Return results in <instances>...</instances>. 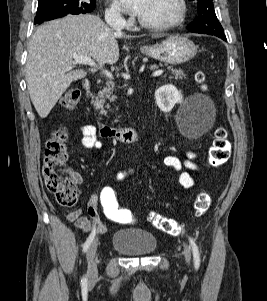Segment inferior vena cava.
Masks as SVG:
<instances>
[{
	"label": "inferior vena cava",
	"mask_w": 267,
	"mask_h": 301,
	"mask_svg": "<svg viewBox=\"0 0 267 301\" xmlns=\"http://www.w3.org/2000/svg\"><path fill=\"white\" fill-rule=\"evenodd\" d=\"M106 23L116 32H121L124 28V22L117 14H110L105 16Z\"/></svg>",
	"instance_id": "602c4592"
}]
</instances>
